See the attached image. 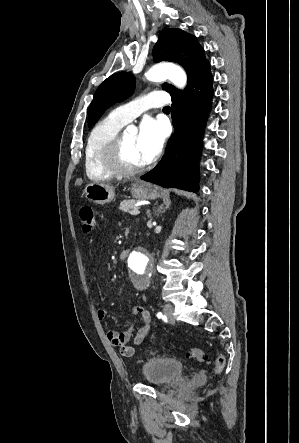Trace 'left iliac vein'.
Wrapping results in <instances>:
<instances>
[{
  "label": "left iliac vein",
  "mask_w": 299,
  "mask_h": 443,
  "mask_svg": "<svg viewBox=\"0 0 299 443\" xmlns=\"http://www.w3.org/2000/svg\"><path fill=\"white\" fill-rule=\"evenodd\" d=\"M163 311H164V314H165L167 320L169 322H171V323H174L175 322V318H174V315H173V312H174L173 306L170 305V304H166L164 306V308H163Z\"/></svg>",
  "instance_id": "4c4485c4"
}]
</instances>
